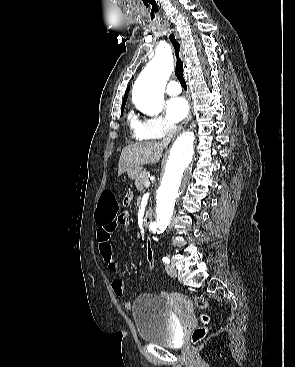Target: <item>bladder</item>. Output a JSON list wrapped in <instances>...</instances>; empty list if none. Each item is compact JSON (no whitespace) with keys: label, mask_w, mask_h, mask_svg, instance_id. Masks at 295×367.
<instances>
[{"label":"bladder","mask_w":295,"mask_h":367,"mask_svg":"<svg viewBox=\"0 0 295 367\" xmlns=\"http://www.w3.org/2000/svg\"><path fill=\"white\" fill-rule=\"evenodd\" d=\"M132 315L141 341L164 347H176L179 343L178 325L162 297L140 295L132 305Z\"/></svg>","instance_id":"obj_1"}]
</instances>
